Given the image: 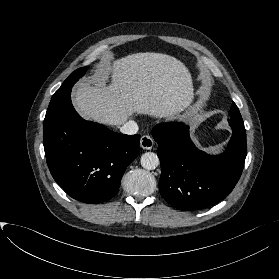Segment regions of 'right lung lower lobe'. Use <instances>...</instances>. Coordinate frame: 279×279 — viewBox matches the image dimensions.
Masks as SVG:
<instances>
[{
	"mask_svg": "<svg viewBox=\"0 0 279 279\" xmlns=\"http://www.w3.org/2000/svg\"><path fill=\"white\" fill-rule=\"evenodd\" d=\"M43 144L54 180L73 199L99 204L119 191L127 166L140 153V135H123L85 121L71 99L44 120Z\"/></svg>",
	"mask_w": 279,
	"mask_h": 279,
	"instance_id": "right-lung-lower-lobe-1",
	"label": "right lung lower lobe"
}]
</instances>
